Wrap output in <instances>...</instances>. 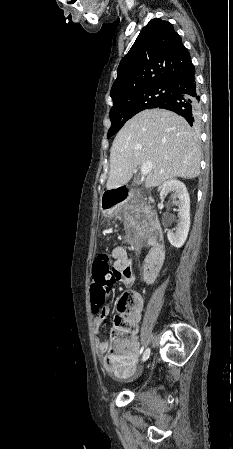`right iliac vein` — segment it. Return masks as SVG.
Returning a JSON list of instances; mask_svg holds the SVG:
<instances>
[{
  "label": "right iliac vein",
  "instance_id": "right-iliac-vein-1",
  "mask_svg": "<svg viewBox=\"0 0 233 449\" xmlns=\"http://www.w3.org/2000/svg\"><path fill=\"white\" fill-rule=\"evenodd\" d=\"M146 360H147V359H146ZM146 360H145V358H144V356H143V358H142V363L145 362Z\"/></svg>",
  "mask_w": 233,
  "mask_h": 449
}]
</instances>
